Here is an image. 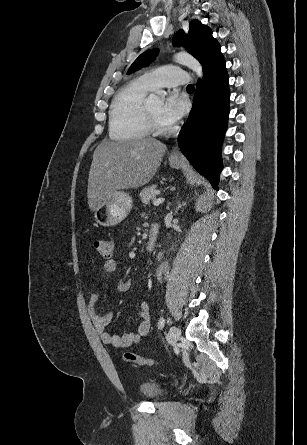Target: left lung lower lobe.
<instances>
[{"label":"left lung lower lobe","instance_id":"1","mask_svg":"<svg viewBox=\"0 0 307 445\" xmlns=\"http://www.w3.org/2000/svg\"><path fill=\"white\" fill-rule=\"evenodd\" d=\"M229 99L228 75L221 57L204 70L191 113L178 137L182 153L215 189L222 169L220 147L227 127Z\"/></svg>","mask_w":307,"mask_h":445}]
</instances>
